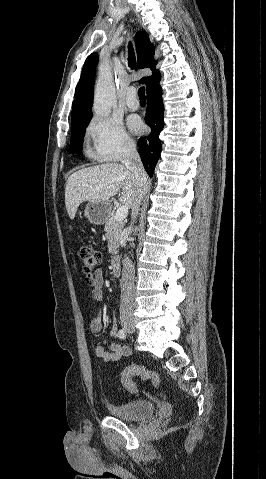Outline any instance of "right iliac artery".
Listing matches in <instances>:
<instances>
[{
    "mask_svg": "<svg viewBox=\"0 0 266 479\" xmlns=\"http://www.w3.org/2000/svg\"><path fill=\"white\" fill-rule=\"evenodd\" d=\"M126 336H127V334H126V332H125L123 329H121V330L118 331V337H119L120 339H125Z\"/></svg>",
    "mask_w": 266,
    "mask_h": 479,
    "instance_id": "right-iliac-artery-1",
    "label": "right iliac artery"
}]
</instances>
